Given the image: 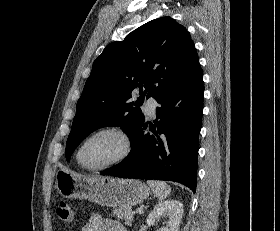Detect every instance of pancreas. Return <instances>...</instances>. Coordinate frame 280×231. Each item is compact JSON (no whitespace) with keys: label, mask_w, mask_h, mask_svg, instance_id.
<instances>
[{"label":"pancreas","mask_w":280,"mask_h":231,"mask_svg":"<svg viewBox=\"0 0 280 231\" xmlns=\"http://www.w3.org/2000/svg\"><path fill=\"white\" fill-rule=\"evenodd\" d=\"M112 215L122 217V219H125L126 225H132L133 213L131 207H117V209H112Z\"/></svg>","instance_id":"cf45deb5"}]
</instances>
